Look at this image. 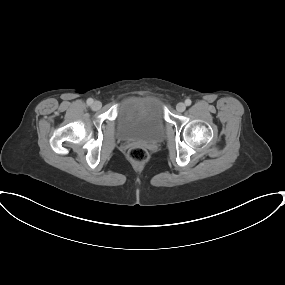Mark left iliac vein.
I'll use <instances>...</instances> for the list:
<instances>
[{
    "label": "left iliac vein",
    "instance_id": "1",
    "mask_svg": "<svg viewBox=\"0 0 285 285\" xmlns=\"http://www.w3.org/2000/svg\"><path fill=\"white\" fill-rule=\"evenodd\" d=\"M176 109L178 112H183L186 109V105L183 102H180L176 105Z\"/></svg>",
    "mask_w": 285,
    "mask_h": 285
}]
</instances>
